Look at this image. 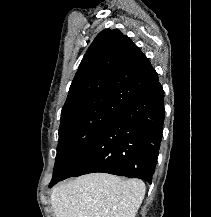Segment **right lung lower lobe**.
<instances>
[{
  "label": "right lung lower lobe",
  "instance_id": "1",
  "mask_svg": "<svg viewBox=\"0 0 211 217\" xmlns=\"http://www.w3.org/2000/svg\"><path fill=\"white\" fill-rule=\"evenodd\" d=\"M164 92L161 84L126 104L104 128L95 142L60 178L103 172L151 183L162 138Z\"/></svg>",
  "mask_w": 211,
  "mask_h": 217
}]
</instances>
